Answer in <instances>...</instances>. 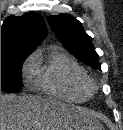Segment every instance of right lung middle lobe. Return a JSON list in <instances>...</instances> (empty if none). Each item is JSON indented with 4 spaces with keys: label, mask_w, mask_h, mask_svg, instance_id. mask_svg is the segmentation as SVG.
I'll return each instance as SVG.
<instances>
[{
    "label": "right lung middle lobe",
    "mask_w": 123,
    "mask_h": 130,
    "mask_svg": "<svg viewBox=\"0 0 123 130\" xmlns=\"http://www.w3.org/2000/svg\"><path fill=\"white\" fill-rule=\"evenodd\" d=\"M29 54L1 57V91L19 92L22 88L21 67Z\"/></svg>",
    "instance_id": "right-lung-middle-lobe-1"
}]
</instances>
